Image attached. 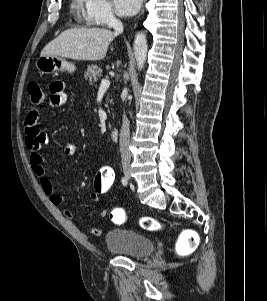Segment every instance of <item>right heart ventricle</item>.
Returning a JSON list of instances; mask_svg holds the SVG:
<instances>
[{
  "label": "right heart ventricle",
  "mask_w": 267,
  "mask_h": 301,
  "mask_svg": "<svg viewBox=\"0 0 267 301\" xmlns=\"http://www.w3.org/2000/svg\"><path fill=\"white\" fill-rule=\"evenodd\" d=\"M85 6V0H73L72 10L77 13L79 10L83 9Z\"/></svg>",
  "instance_id": "right-heart-ventricle-1"
}]
</instances>
